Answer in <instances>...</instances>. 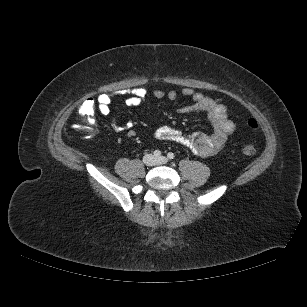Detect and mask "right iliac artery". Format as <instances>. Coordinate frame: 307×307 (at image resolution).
<instances>
[{
  "instance_id": "obj_1",
  "label": "right iliac artery",
  "mask_w": 307,
  "mask_h": 307,
  "mask_svg": "<svg viewBox=\"0 0 307 307\" xmlns=\"http://www.w3.org/2000/svg\"><path fill=\"white\" fill-rule=\"evenodd\" d=\"M153 155H154L155 158H159V157H161V151L155 150Z\"/></svg>"
}]
</instances>
